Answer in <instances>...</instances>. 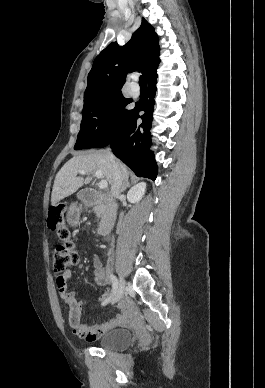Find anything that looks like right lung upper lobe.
I'll list each match as a JSON object with an SVG mask.
<instances>
[{
    "instance_id": "1",
    "label": "right lung upper lobe",
    "mask_w": 265,
    "mask_h": 388,
    "mask_svg": "<svg viewBox=\"0 0 265 388\" xmlns=\"http://www.w3.org/2000/svg\"><path fill=\"white\" fill-rule=\"evenodd\" d=\"M159 39L143 18L141 26L124 46L109 44L95 59L88 75L84 99L105 90L121 89L130 72L141 71L147 80L157 75Z\"/></svg>"
}]
</instances>
